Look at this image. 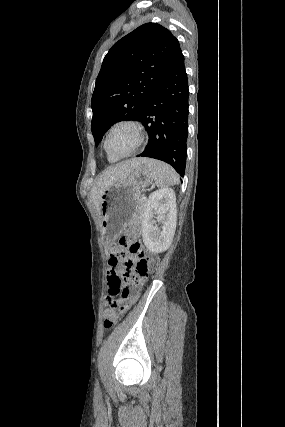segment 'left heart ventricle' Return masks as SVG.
Returning a JSON list of instances; mask_svg holds the SVG:
<instances>
[{
  "label": "left heart ventricle",
  "mask_w": 285,
  "mask_h": 427,
  "mask_svg": "<svg viewBox=\"0 0 285 427\" xmlns=\"http://www.w3.org/2000/svg\"><path fill=\"white\" fill-rule=\"evenodd\" d=\"M136 143V133L130 126H119L109 135L108 147L114 154L129 152Z\"/></svg>",
  "instance_id": "left-heart-ventricle-1"
}]
</instances>
